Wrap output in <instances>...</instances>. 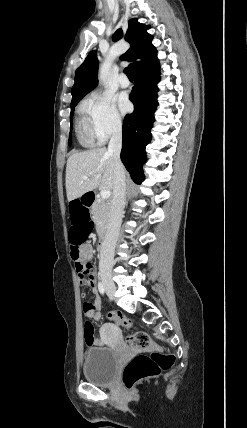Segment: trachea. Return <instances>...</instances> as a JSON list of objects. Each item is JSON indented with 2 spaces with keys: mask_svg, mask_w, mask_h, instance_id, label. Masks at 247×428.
<instances>
[{
  "mask_svg": "<svg viewBox=\"0 0 247 428\" xmlns=\"http://www.w3.org/2000/svg\"><path fill=\"white\" fill-rule=\"evenodd\" d=\"M124 72H125V74L127 75V77L130 79V80H132L133 79V75H132V71H131V69L130 68H125L124 69Z\"/></svg>",
  "mask_w": 247,
  "mask_h": 428,
  "instance_id": "1",
  "label": "trachea"
}]
</instances>
